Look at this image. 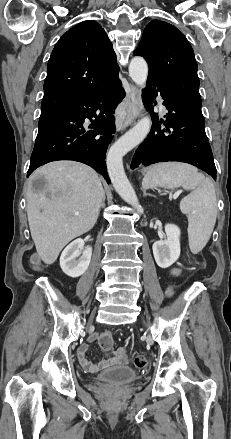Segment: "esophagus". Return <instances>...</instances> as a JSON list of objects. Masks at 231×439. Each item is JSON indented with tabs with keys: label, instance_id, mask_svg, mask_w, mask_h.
<instances>
[{
	"label": "esophagus",
	"instance_id": "34e87169",
	"mask_svg": "<svg viewBox=\"0 0 231 439\" xmlns=\"http://www.w3.org/2000/svg\"><path fill=\"white\" fill-rule=\"evenodd\" d=\"M141 93L137 86L131 85V90L126 98L125 117L122 122L117 123V129L122 130L132 125L138 118L141 111Z\"/></svg>",
	"mask_w": 231,
	"mask_h": 439
}]
</instances>
